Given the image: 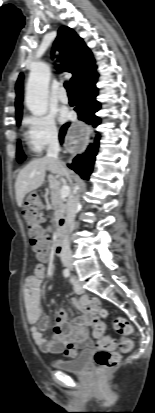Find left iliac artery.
Segmentation results:
<instances>
[{
	"mask_svg": "<svg viewBox=\"0 0 155 413\" xmlns=\"http://www.w3.org/2000/svg\"><path fill=\"white\" fill-rule=\"evenodd\" d=\"M71 282H73V278H71Z\"/></svg>",
	"mask_w": 155,
	"mask_h": 413,
	"instance_id": "obj_1",
	"label": "left iliac artery"
}]
</instances>
